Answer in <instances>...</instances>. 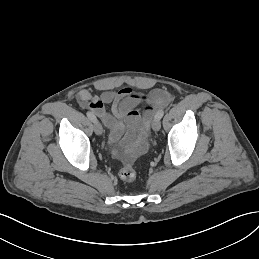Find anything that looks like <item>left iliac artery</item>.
Here are the masks:
<instances>
[{"mask_svg":"<svg viewBox=\"0 0 259 259\" xmlns=\"http://www.w3.org/2000/svg\"><path fill=\"white\" fill-rule=\"evenodd\" d=\"M163 115H164V111H163V110H160V111H158V112L156 113L155 118H156V119H161V118L163 117Z\"/></svg>","mask_w":259,"mask_h":259,"instance_id":"44dca946","label":"left iliac artery"}]
</instances>
